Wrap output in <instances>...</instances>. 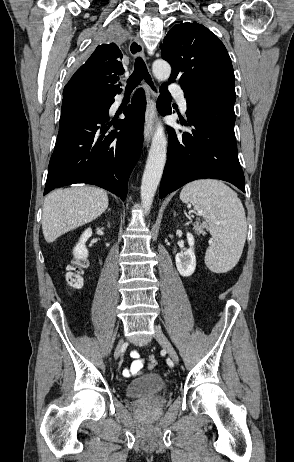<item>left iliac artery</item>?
Instances as JSON below:
<instances>
[{"mask_svg":"<svg viewBox=\"0 0 294 462\" xmlns=\"http://www.w3.org/2000/svg\"><path fill=\"white\" fill-rule=\"evenodd\" d=\"M166 363L169 365V366H173V363L171 361V358H166Z\"/></svg>","mask_w":294,"mask_h":462,"instance_id":"left-iliac-artery-1","label":"left iliac artery"}]
</instances>
